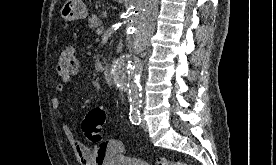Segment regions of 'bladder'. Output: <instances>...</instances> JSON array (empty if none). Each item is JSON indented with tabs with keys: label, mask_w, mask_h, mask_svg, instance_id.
<instances>
[{
	"label": "bladder",
	"mask_w": 276,
	"mask_h": 165,
	"mask_svg": "<svg viewBox=\"0 0 276 165\" xmlns=\"http://www.w3.org/2000/svg\"><path fill=\"white\" fill-rule=\"evenodd\" d=\"M108 165H149L139 159L129 158L125 156H116Z\"/></svg>",
	"instance_id": "1"
}]
</instances>
